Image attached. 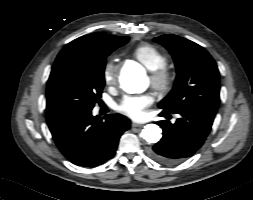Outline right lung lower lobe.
Instances as JSON below:
<instances>
[{
	"label": "right lung lower lobe",
	"mask_w": 253,
	"mask_h": 200,
	"mask_svg": "<svg viewBox=\"0 0 253 200\" xmlns=\"http://www.w3.org/2000/svg\"><path fill=\"white\" fill-rule=\"evenodd\" d=\"M47 124L62 154L72 163L94 167L111 159L130 121L123 115H107L105 121L91 111L47 114Z\"/></svg>",
	"instance_id": "98d812e1"
}]
</instances>
